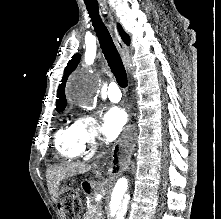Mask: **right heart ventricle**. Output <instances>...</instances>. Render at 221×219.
Segmentation results:
<instances>
[{"label":"right heart ventricle","instance_id":"obj_1","mask_svg":"<svg viewBox=\"0 0 221 219\" xmlns=\"http://www.w3.org/2000/svg\"><path fill=\"white\" fill-rule=\"evenodd\" d=\"M55 147L58 154L68 160L76 159L84 153L74 124L67 125L57 132Z\"/></svg>","mask_w":221,"mask_h":219}]
</instances>
